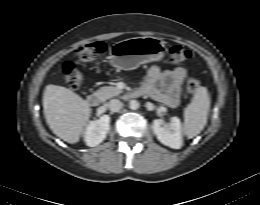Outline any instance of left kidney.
I'll return each mask as SVG.
<instances>
[{"instance_id":"5707ae66","label":"left kidney","mask_w":260,"mask_h":205,"mask_svg":"<svg viewBox=\"0 0 260 205\" xmlns=\"http://www.w3.org/2000/svg\"><path fill=\"white\" fill-rule=\"evenodd\" d=\"M152 128L162 144L173 149L182 147V125L179 118L172 117L169 126L164 125L161 119H155Z\"/></svg>"}]
</instances>
